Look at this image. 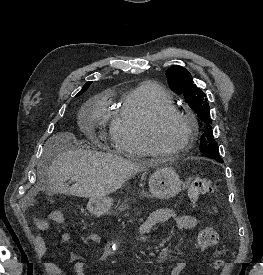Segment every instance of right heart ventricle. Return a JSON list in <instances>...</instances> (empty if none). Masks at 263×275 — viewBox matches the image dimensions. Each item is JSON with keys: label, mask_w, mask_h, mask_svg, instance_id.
Wrapping results in <instances>:
<instances>
[{"label": "right heart ventricle", "mask_w": 263, "mask_h": 275, "mask_svg": "<svg viewBox=\"0 0 263 275\" xmlns=\"http://www.w3.org/2000/svg\"><path fill=\"white\" fill-rule=\"evenodd\" d=\"M173 106L170 96L155 83H142L124 93L119 108L111 115L110 135L114 147L134 157L153 154L144 125L156 110Z\"/></svg>", "instance_id": "1"}]
</instances>
